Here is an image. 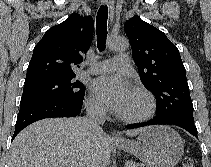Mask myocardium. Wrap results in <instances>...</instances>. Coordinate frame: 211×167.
Returning <instances> with one entry per match:
<instances>
[{"label": "myocardium", "mask_w": 211, "mask_h": 167, "mask_svg": "<svg viewBox=\"0 0 211 167\" xmlns=\"http://www.w3.org/2000/svg\"><path fill=\"white\" fill-rule=\"evenodd\" d=\"M133 93L144 98V100L146 102L145 112L138 116H126V115L121 114L120 119L123 120L124 122H128V123L145 122V121L149 120L155 112V109H156L155 98H154L153 94L144 87H139V86L135 87L133 89Z\"/></svg>", "instance_id": "f54148a6"}]
</instances>
